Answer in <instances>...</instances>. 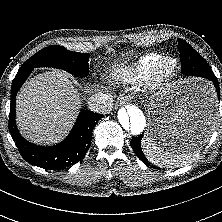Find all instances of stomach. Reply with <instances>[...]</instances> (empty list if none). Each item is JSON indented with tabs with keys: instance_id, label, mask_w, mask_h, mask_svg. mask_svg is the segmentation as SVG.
Listing matches in <instances>:
<instances>
[{
	"instance_id": "stomach-1",
	"label": "stomach",
	"mask_w": 222,
	"mask_h": 222,
	"mask_svg": "<svg viewBox=\"0 0 222 222\" xmlns=\"http://www.w3.org/2000/svg\"><path fill=\"white\" fill-rule=\"evenodd\" d=\"M146 137L168 149L200 150L215 120V95L200 79L168 84L147 106Z\"/></svg>"
}]
</instances>
